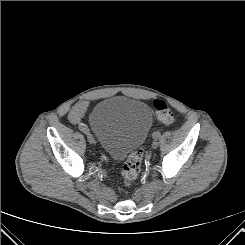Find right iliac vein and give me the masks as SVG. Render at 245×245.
I'll return each instance as SVG.
<instances>
[{
    "label": "right iliac vein",
    "mask_w": 245,
    "mask_h": 245,
    "mask_svg": "<svg viewBox=\"0 0 245 245\" xmlns=\"http://www.w3.org/2000/svg\"><path fill=\"white\" fill-rule=\"evenodd\" d=\"M85 134H86V138H87L88 142L90 144H93L94 143V138H93L92 134H90L89 132H86Z\"/></svg>",
    "instance_id": "63e3f726"
}]
</instances>
